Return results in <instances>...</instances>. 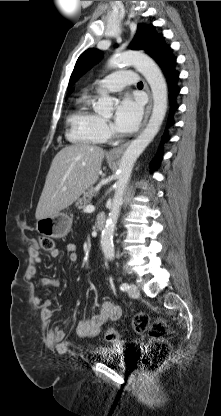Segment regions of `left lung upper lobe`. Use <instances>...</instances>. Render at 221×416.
<instances>
[{
  "label": "left lung upper lobe",
  "mask_w": 221,
  "mask_h": 416,
  "mask_svg": "<svg viewBox=\"0 0 221 416\" xmlns=\"http://www.w3.org/2000/svg\"><path fill=\"white\" fill-rule=\"evenodd\" d=\"M161 36V34L157 35L155 33L152 25H138L135 38L129 47L135 50H144L149 54ZM101 56L102 53L94 48H89L83 52L76 62L69 85L77 80L91 65L99 61Z\"/></svg>",
  "instance_id": "1"
}]
</instances>
